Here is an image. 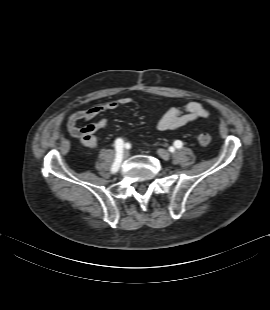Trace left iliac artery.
Returning a JSON list of instances; mask_svg holds the SVG:
<instances>
[{"instance_id":"left-iliac-artery-1","label":"left iliac artery","mask_w":270,"mask_h":310,"mask_svg":"<svg viewBox=\"0 0 270 310\" xmlns=\"http://www.w3.org/2000/svg\"><path fill=\"white\" fill-rule=\"evenodd\" d=\"M182 145H183V143H182L180 140H176V141L174 142V146H175L176 148H181Z\"/></svg>"}]
</instances>
